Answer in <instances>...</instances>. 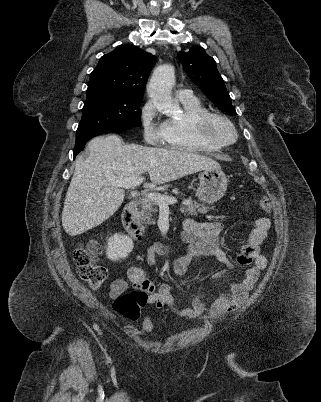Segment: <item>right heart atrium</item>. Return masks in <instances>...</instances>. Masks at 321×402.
<instances>
[{"instance_id": "1", "label": "right heart atrium", "mask_w": 321, "mask_h": 402, "mask_svg": "<svg viewBox=\"0 0 321 402\" xmlns=\"http://www.w3.org/2000/svg\"><path fill=\"white\" fill-rule=\"evenodd\" d=\"M140 123L146 142L156 145L164 141L163 122L158 121V111L151 101H147L141 108Z\"/></svg>"}]
</instances>
